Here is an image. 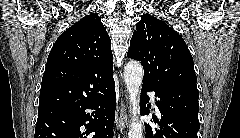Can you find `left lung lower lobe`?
<instances>
[{"mask_svg":"<svg viewBox=\"0 0 240 138\" xmlns=\"http://www.w3.org/2000/svg\"><path fill=\"white\" fill-rule=\"evenodd\" d=\"M154 91L158 98L156 105L161 113L158 123L160 129H152L145 125L146 138H198L197 132L200 128L198 120L199 93L194 89H178L172 91H158L143 86V102L149 98L145 92ZM142 114H148L147 108L142 107Z\"/></svg>","mask_w":240,"mask_h":138,"instance_id":"obj_1","label":"left lung lower lobe"}]
</instances>
